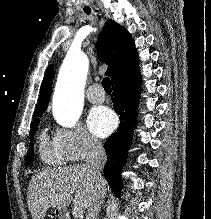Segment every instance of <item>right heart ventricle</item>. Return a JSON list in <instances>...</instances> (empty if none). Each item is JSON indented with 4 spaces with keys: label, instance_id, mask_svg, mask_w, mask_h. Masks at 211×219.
Here are the masks:
<instances>
[{
    "label": "right heart ventricle",
    "instance_id": "right-heart-ventricle-1",
    "mask_svg": "<svg viewBox=\"0 0 211 219\" xmlns=\"http://www.w3.org/2000/svg\"><path fill=\"white\" fill-rule=\"evenodd\" d=\"M38 150L42 161L46 164L59 165L67 160L55 141L51 140L44 132L39 137Z\"/></svg>",
    "mask_w": 211,
    "mask_h": 219
}]
</instances>
